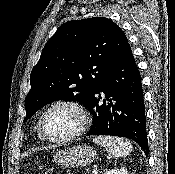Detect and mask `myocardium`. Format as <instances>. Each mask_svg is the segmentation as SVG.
<instances>
[{
	"instance_id": "obj_1",
	"label": "myocardium",
	"mask_w": 175,
	"mask_h": 174,
	"mask_svg": "<svg viewBox=\"0 0 175 174\" xmlns=\"http://www.w3.org/2000/svg\"><path fill=\"white\" fill-rule=\"evenodd\" d=\"M57 107H67L72 109L79 117V125L77 127V129L75 131H73L71 134L62 137V138H53L50 137L46 134L45 130H44V119L46 117V115L53 109L57 108ZM89 125V115L88 112L86 110V108L79 102L74 101V100H60L57 102H54L53 104H51L50 106H48L44 112L41 114L39 121H38V131L41 135V137L51 143H66L69 142L75 138H77L78 136H80L81 134H83L86 129L88 128Z\"/></svg>"
}]
</instances>
